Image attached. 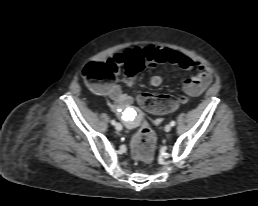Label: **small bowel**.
I'll use <instances>...</instances> for the list:
<instances>
[{
	"label": "small bowel",
	"mask_w": 258,
	"mask_h": 206,
	"mask_svg": "<svg viewBox=\"0 0 258 206\" xmlns=\"http://www.w3.org/2000/svg\"><path fill=\"white\" fill-rule=\"evenodd\" d=\"M135 54L141 55L145 63L150 67H155L159 64H173L185 70H194L195 74L183 83V90L189 96L200 95L213 81V70L210 66L194 61L175 50L161 46L149 45L142 49L115 54L108 60L107 64L111 67L114 75L117 76L120 69ZM162 82L163 78L160 75H154L149 79V85L152 87L160 86ZM98 91L107 97L110 108L120 115L127 127H134L141 119V115L137 112L133 116H129L131 98L122 92L121 87L117 83L98 87ZM154 122L159 124L161 119L156 118Z\"/></svg>",
	"instance_id": "obj_1"
}]
</instances>
